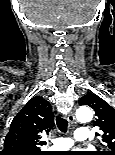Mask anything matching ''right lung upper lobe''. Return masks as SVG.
Returning <instances> with one entry per match:
<instances>
[{
	"label": "right lung upper lobe",
	"instance_id": "obj_1",
	"mask_svg": "<svg viewBox=\"0 0 115 155\" xmlns=\"http://www.w3.org/2000/svg\"><path fill=\"white\" fill-rule=\"evenodd\" d=\"M54 126V115L49 102L40 96L33 97L14 117L5 137L0 155H45L40 151L41 133Z\"/></svg>",
	"mask_w": 115,
	"mask_h": 155
}]
</instances>
